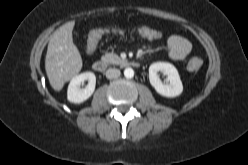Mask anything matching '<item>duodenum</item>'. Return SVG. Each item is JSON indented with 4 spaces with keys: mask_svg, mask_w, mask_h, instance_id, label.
I'll return each instance as SVG.
<instances>
[{
    "mask_svg": "<svg viewBox=\"0 0 248 165\" xmlns=\"http://www.w3.org/2000/svg\"><path fill=\"white\" fill-rule=\"evenodd\" d=\"M128 65L131 67H139L140 63L138 61H130ZM107 62L104 60H96L92 64V68L98 73H104L107 69Z\"/></svg>",
    "mask_w": 248,
    "mask_h": 165,
    "instance_id": "duodenum-1",
    "label": "duodenum"
}]
</instances>
